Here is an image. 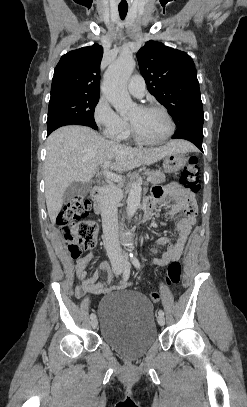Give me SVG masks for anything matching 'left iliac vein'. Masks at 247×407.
Returning a JSON list of instances; mask_svg holds the SVG:
<instances>
[{
	"mask_svg": "<svg viewBox=\"0 0 247 407\" xmlns=\"http://www.w3.org/2000/svg\"><path fill=\"white\" fill-rule=\"evenodd\" d=\"M124 266H130V263L125 262V263H124ZM157 321H158V324H159V325L163 326V325L165 324L164 316L159 315V316L157 317Z\"/></svg>",
	"mask_w": 247,
	"mask_h": 407,
	"instance_id": "4c4485c4",
	"label": "left iliac vein"
}]
</instances>
